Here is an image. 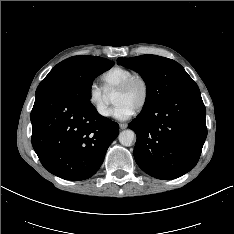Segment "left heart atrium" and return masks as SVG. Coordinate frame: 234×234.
Wrapping results in <instances>:
<instances>
[{
  "label": "left heart atrium",
  "instance_id": "obj_1",
  "mask_svg": "<svg viewBox=\"0 0 234 234\" xmlns=\"http://www.w3.org/2000/svg\"><path fill=\"white\" fill-rule=\"evenodd\" d=\"M134 110L125 104H117L112 110V115L118 120H126L130 118Z\"/></svg>",
  "mask_w": 234,
  "mask_h": 234
}]
</instances>
